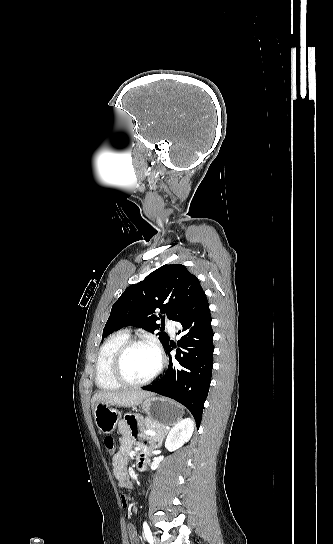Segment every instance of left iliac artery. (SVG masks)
<instances>
[{"label":"left iliac artery","mask_w":333,"mask_h":544,"mask_svg":"<svg viewBox=\"0 0 333 544\" xmlns=\"http://www.w3.org/2000/svg\"><path fill=\"white\" fill-rule=\"evenodd\" d=\"M143 530H144V535L146 537V539L148 540V542L150 544H153V536H152V532L150 530V527L149 525L147 524V522H144L143 523Z\"/></svg>","instance_id":"44dca946"}]
</instances>
